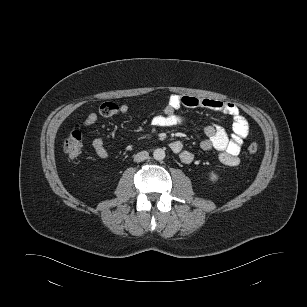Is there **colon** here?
<instances>
[{"label":"colon","mask_w":307,"mask_h":307,"mask_svg":"<svg viewBox=\"0 0 307 307\" xmlns=\"http://www.w3.org/2000/svg\"><path fill=\"white\" fill-rule=\"evenodd\" d=\"M259 150V144L256 142H251L247 146V152L250 155H254ZM82 151V135L79 128H74L72 132L64 141V152L71 159H76L80 156Z\"/></svg>","instance_id":"1"}]
</instances>
